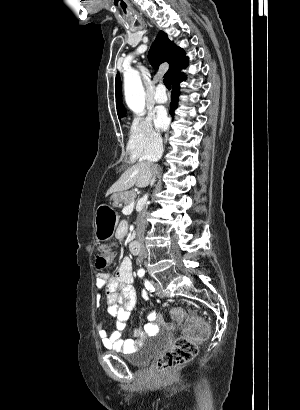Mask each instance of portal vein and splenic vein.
<instances>
[{
	"instance_id": "18ae733b",
	"label": "portal vein and splenic vein",
	"mask_w": 300,
	"mask_h": 410,
	"mask_svg": "<svg viewBox=\"0 0 300 410\" xmlns=\"http://www.w3.org/2000/svg\"><path fill=\"white\" fill-rule=\"evenodd\" d=\"M134 205H135V202H134V199H133L131 203H129L126 207H124L123 213H129L130 214L134 209Z\"/></svg>"
}]
</instances>
